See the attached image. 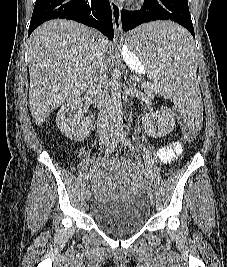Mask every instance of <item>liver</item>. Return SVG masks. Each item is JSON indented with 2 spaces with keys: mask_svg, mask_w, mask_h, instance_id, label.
Returning <instances> with one entry per match:
<instances>
[{
  "mask_svg": "<svg viewBox=\"0 0 227 267\" xmlns=\"http://www.w3.org/2000/svg\"><path fill=\"white\" fill-rule=\"evenodd\" d=\"M96 44L107 52L105 37L75 21L51 20L32 33L29 108L36 125H42L59 105L87 90Z\"/></svg>",
  "mask_w": 227,
  "mask_h": 267,
  "instance_id": "6515ba94",
  "label": "liver"
}]
</instances>
